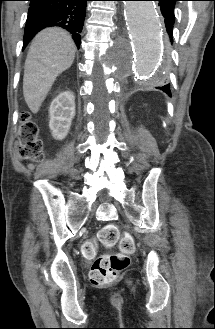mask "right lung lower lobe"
<instances>
[{
    "mask_svg": "<svg viewBox=\"0 0 215 329\" xmlns=\"http://www.w3.org/2000/svg\"><path fill=\"white\" fill-rule=\"evenodd\" d=\"M30 7L25 26L24 45L42 29L60 26L72 34L77 47H80L86 2L89 0H28Z\"/></svg>",
    "mask_w": 215,
    "mask_h": 329,
    "instance_id": "98d812e1",
    "label": "right lung lower lobe"
}]
</instances>
